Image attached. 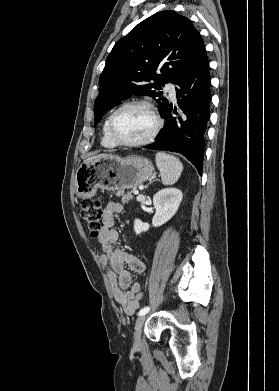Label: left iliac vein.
Returning <instances> with one entry per match:
<instances>
[{
	"mask_svg": "<svg viewBox=\"0 0 279 391\" xmlns=\"http://www.w3.org/2000/svg\"><path fill=\"white\" fill-rule=\"evenodd\" d=\"M146 321V315H141L137 318L134 328V346L141 347V330Z\"/></svg>",
	"mask_w": 279,
	"mask_h": 391,
	"instance_id": "obj_1",
	"label": "left iliac vein"
}]
</instances>
